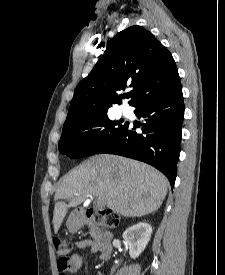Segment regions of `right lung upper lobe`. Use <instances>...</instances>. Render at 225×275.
<instances>
[{"label":"right lung upper lobe","mask_w":225,"mask_h":275,"mask_svg":"<svg viewBox=\"0 0 225 275\" xmlns=\"http://www.w3.org/2000/svg\"><path fill=\"white\" fill-rule=\"evenodd\" d=\"M179 80L166 47L144 28L129 27L108 43L93 70L76 87L63 127L121 104L120 92L126 88L132 89L129 104L133 106Z\"/></svg>","instance_id":"obj_1"}]
</instances>
